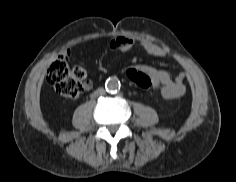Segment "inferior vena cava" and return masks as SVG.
I'll use <instances>...</instances> for the list:
<instances>
[{
  "instance_id": "inferior-vena-cava-1",
  "label": "inferior vena cava",
  "mask_w": 236,
  "mask_h": 182,
  "mask_svg": "<svg viewBox=\"0 0 236 182\" xmlns=\"http://www.w3.org/2000/svg\"><path fill=\"white\" fill-rule=\"evenodd\" d=\"M94 94H95L96 96L104 95V94H105V90H104L103 88H99V89H97V90L94 92Z\"/></svg>"
}]
</instances>
